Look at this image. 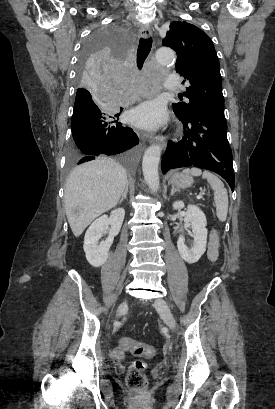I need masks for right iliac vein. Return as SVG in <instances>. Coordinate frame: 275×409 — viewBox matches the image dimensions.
<instances>
[{"label": "right iliac vein", "instance_id": "right-iliac-vein-1", "mask_svg": "<svg viewBox=\"0 0 275 409\" xmlns=\"http://www.w3.org/2000/svg\"><path fill=\"white\" fill-rule=\"evenodd\" d=\"M127 307H128L127 302L126 301L122 302L118 307L117 314L124 312L127 309Z\"/></svg>", "mask_w": 275, "mask_h": 409}]
</instances>
